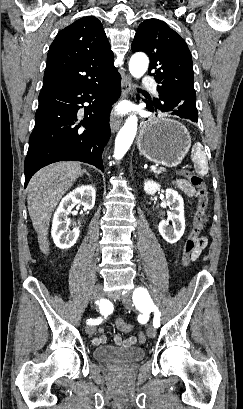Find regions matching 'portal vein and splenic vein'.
I'll return each instance as SVG.
<instances>
[{
  "label": "portal vein and splenic vein",
  "mask_w": 243,
  "mask_h": 409,
  "mask_svg": "<svg viewBox=\"0 0 243 409\" xmlns=\"http://www.w3.org/2000/svg\"><path fill=\"white\" fill-rule=\"evenodd\" d=\"M150 169H151L152 171H154V170L157 169V166H156V165H152V166L150 167Z\"/></svg>",
  "instance_id": "obj_1"
}]
</instances>
